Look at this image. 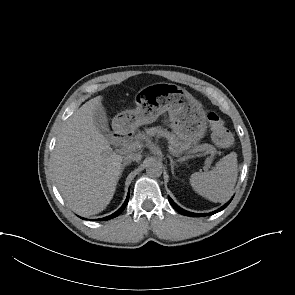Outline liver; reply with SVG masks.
Returning <instances> with one entry per match:
<instances>
[{"label":"liver","instance_id":"obj_1","mask_svg":"<svg viewBox=\"0 0 295 295\" xmlns=\"http://www.w3.org/2000/svg\"><path fill=\"white\" fill-rule=\"evenodd\" d=\"M97 96L75 111L62 127L52 154L56 185L67 205L81 216L103 211L113 198L122 166L94 125Z\"/></svg>","mask_w":295,"mask_h":295}]
</instances>
